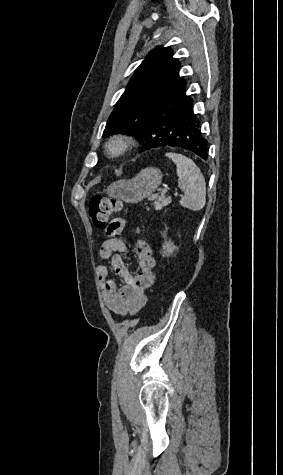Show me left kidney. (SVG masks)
Returning a JSON list of instances; mask_svg holds the SVG:
<instances>
[{"instance_id": "1", "label": "left kidney", "mask_w": 283, "mask_h": 475, "mask_svg": "<svg viewBox=\"0 0 283 475\" xmlns=\"http://www.w3.org/2000/svg\"><path fill=\"white\" fill-rule=\"evenodd\" d=\"M162 249V255H171V253L177 249V245H174L173 241H164Z\"/></svg>"}]
</instances>
